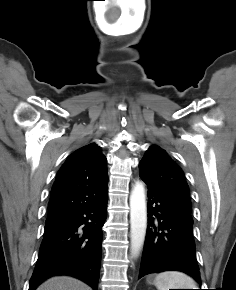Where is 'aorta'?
I'll return each instance as SVG.
<instances>
[{
	"label": "aorta",
	"mask_w": 236,
	"mask_h": 290,
	"mask_svg": "<svg viewBox=\"0 0 236 290\" xmlns=\"http://www.w3.org/2000/svg\"><path fill=\"white\" fill-rule=\"evenodd\" d=\"M147 228L145 189L137 182L130 194V241L131 256L136 258L143 246Z\"/></svg>",
	"instance_id": "762f6f07"
}]
</instances>
